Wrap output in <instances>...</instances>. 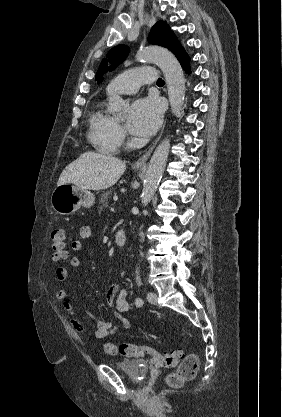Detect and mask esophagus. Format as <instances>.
<instances>
[{
  "mask_svg": "<svg viewBox=\"0 0 282 417\" xmlns=\"http://www.w3.org/2000/svg\"><path fill=\"white\" fill-rule=\"evenodd\" d=\"M165 123H166V121H165V122H164V124H163V127H162V129H161V131H160V133H159V135H158V138H157V139H156V141L153 143V145L150 147V149L148 150V152H146L144 155H142V157H140V158L137 160V162L135 163V166H136V167H144V166H146V162H147V160L149 159V157H150V155H151L152 151L154 150L155 146L157 145V143L159 142V140H160V138H161V136H162V133H163L164 128H165Z\"/></svg>",
  "mask_w": 282,
  "mask_h": 417,
  "instance_id": "34e87169",
  "label": "esophagus"
}]
</instances>
